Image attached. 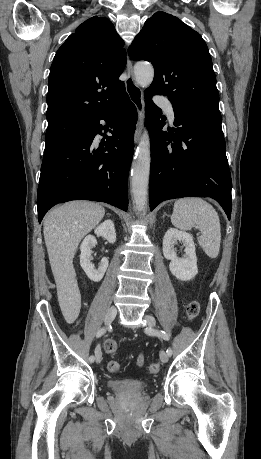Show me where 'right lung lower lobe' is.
Listing matches in <instances>:
<instances>
[{
	"mask_svg": "<svg viewBox=\"0 0 261 459\" xmlns=\"http://www.w3.org/2000/svg\"><path fill=\"white\" fill-rule=\"evenodd\" d=\"M101 119L111 123L112 136L96 150ZM137 110L125 93L88 122L85 131L44 154L37 194L38 220L57 203L93 200L128 208L127 180L133 156Z\"/></svg>",
	"mask_w": 261,
	"mask_h": 459,
	"instance_id": "obj_1",
	"label": "right lung lower lobe"
}]
</instances>
